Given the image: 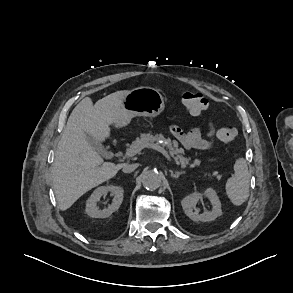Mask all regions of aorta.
Returning <instances> with one entry per match:
<instances>
[{"label":"aorta","mask_w":293,"mask_h":293,"mask_svg":"<svg viewBox=\"0 0 293 293\" xmlns=\"http://www.w3.org/2000/svg\"><path fill=\"white\" fill-rule=\"evenodd\" d=\"M161 174L155 170H148L142 174V185L148 190H155L161 185Z\"/></svg>","instance_id":"obj_1"}]
</instances>
